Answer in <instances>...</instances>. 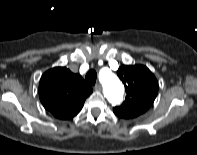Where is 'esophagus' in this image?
<instances>
[{
  "mask_svg": "<svg viewBox=\"0 0 197 155\" xmlns=\"http://www.w3.org/2000/svg\"><path fill=\"white\" fill-rule=\"evenodd\" d=\"M94 89H95L96 91H101L102 87H101V85H100L99 83H97V84L95 85Z\"/></svg>",
  "mask_w": 197,
  "mask_h": 155,
  "instance_id": "34e87169",
  "label": "esophagus"
}]
</instances>
